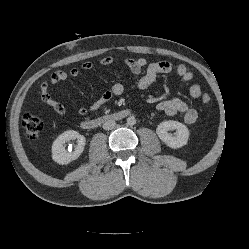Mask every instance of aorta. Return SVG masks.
<instances>
[{"instance_id":"obj_1","label":"aorta","mask_w":249,"mask_h":249,"mask_svg":"<svg viewBox=\"0 0 249 249\" xmlns=\"http://www.w3.org/2000/svg\"><path fill=\"white\" fill-rule=\"evenodd\" d=\"M135 123H136V119H135L134 116L128 117V119H127V124L128 125H134Z\"/></svg>"}]
</instances>
